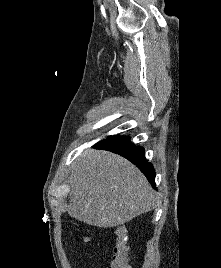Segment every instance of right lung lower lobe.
Listing matches in <instances>:
<instances>
[{
	"label": "right lung lower lobe",
	"mask_w": 221,
	"mask_h": 268,
	"mask_svg": "<svg viewBox=\"0 0 221 268\" xmlns=\"http://www.w3.org/2000/svg\"><path fill=\"white\" fill-rule=\"evenodd\" d=\"M94 148L108 150L125 157L142 171L152 187L155 188L154 167L146 160L144 148L130 143L129 137L109 136L107 139L98 142Z\"/></svg>",
	"instance_id": "obj_1"
}]
</instances>
